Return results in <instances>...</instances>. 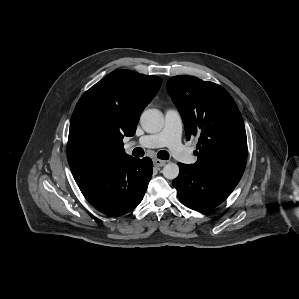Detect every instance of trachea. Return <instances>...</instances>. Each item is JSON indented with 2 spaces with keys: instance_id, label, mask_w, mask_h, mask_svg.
Instances as JSON below:
<instances>
[{
  "instance_id": "obj_1",
  "label": "trachea",
  "mask_w": 299,
  "mask_h": 299,
  "mask_svg": "<svg viewBox=\"0 0 299 299\" xmlns=\"http://www.w3.org/2000/svg\"><path fill=\"white\" fill-rule=\"evenodd\" d=\"M133 155L136 156V157H142V156H144V150L140 147H137L133 150ZM157 157L159 159H162V160H168L169 159V153L165 150L159 151L157 153Z\"/></svg>"
}]
</instances>
